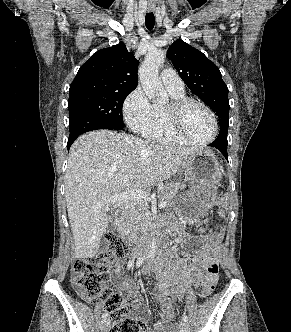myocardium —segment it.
<instances>
[{
	"label": "myocardium",
	"mask_w": 291,
	"mask_h": 332,
	"mask_svg": "<svg viewBox=\"0 0 291 332\" xmlns=\"http://www.w3.org/2000/svg\"><path fill=\"white\" fill-rule=\"evenodd\" d=\"M191 106H199L203 108L210 116L213 123V134L210 138L206 140H196L192 138L184 128V114L188 108ZM166 114L170 123L172 130L187 142L195 145H207L212 143L218 135V121L213 110L205 103L192 99L183 98L172 100V102L166 106Z\"/></svg>",
	"instance_id": "obj_1"
}]
</instances>
